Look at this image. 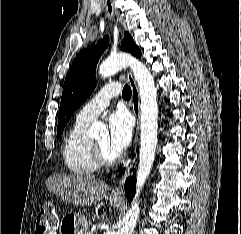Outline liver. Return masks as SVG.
<instances>
[{"mask_svg":"<svg viewBox=\"0 0 241 234\" xmlns=\"http://www.w3.org/2000/svg\"><path fill=\"white\" fill-rule=\"evenodd\" d=\"M45 184L57 196L76 206H91L101 201L109 191L106 183L90 175L53 174Z\"/></svg>","mask_w":241,"mask_h":234,"instance_id":"obj_1","label":"liver"}]
</instances>
